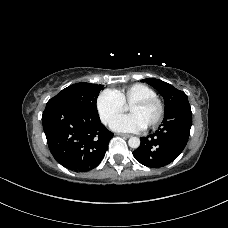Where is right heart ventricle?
Segmentation results:
<instances>
[{
	"instance_id": "obj_1",
	"label": "right heart ventricle",
	"mask_w": 228,
	"mask_h": 228,
	"mask_svg": "<svg viewBox=\"0 0 228 228\" xmlns=\"http://www.w3.org/2000/svg\"><path fill=\"white\" fill-rule=\"evenodd\" d=\"M115 92L124 105H130L139 99L156 96V91L153 88L142 83H136Z\"/></svg>"
}]
</instances>
